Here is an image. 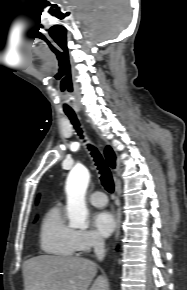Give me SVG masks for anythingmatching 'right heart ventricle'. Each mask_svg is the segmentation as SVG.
I'll use <instances>...</instances> for the list:
<instances>
[{"instance_id":"e07e8e85","label":"right heart ventricle","mask_w":187,"mask_h":290,"mask_svg":"<svg viewBox=\"0 0 187 290\" xmlns=\"http://www.w3.org/2000/svg\"><path fill=\"white\" fill-rule=\"evenodd\" d=\"M74 232L63 219L59 205L51 207L44 215L40 227L41 249L50 255L72 257L77 248Z\"/></svg>"}]
</instances>
